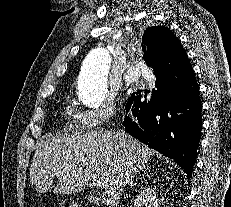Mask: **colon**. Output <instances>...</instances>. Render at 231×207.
Returning <instances> with one entry per match:
<instances>
[{"instance_id":"5ec220e1","label":"colon","mask_w":231,"mask_h":207,"mask_svg":"<svg viewBox=\"0 0 231 207\" xmlns=\"http://www.w3.org/2000/svg\"><path fill=\"white\" fill-rule=\"evenodd\" d=\"M63 207H77L76 204H74L73 202L71 201H66L64 204H63Z\"/></svg>"}]
</instances>
